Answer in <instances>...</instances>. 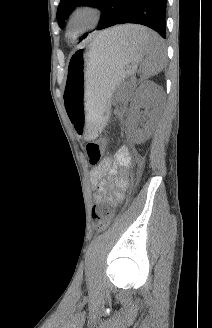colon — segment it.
Listing matches in <instances>:
<instances>
[{
    "mask_svg": "<svg viewBox=\"0 0 212 328\" xmlns=\"http://www.w3.org/2000/svg\"><path fill=\"white\" fill-rule=\"evenodd\" d=\"M105 148V141L102 139L91 141L86 144L85 152L87 158L92 165H96L100 162L102 154ZM92 217L98 221V229L100 231L105 230L110 224L113 213L107 210V207L103 203H99L92 209Z\"/></svg>",
    "mask_w": 212,
    "mask_h": 328,
    "instance_id": "1",
    "label": "colon"
}]
</instances>
